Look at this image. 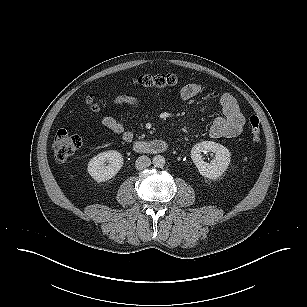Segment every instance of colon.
Listing matches in <instances>:
<instances>
[{"label":"colon","mask_w":307,"mask_h":307,"mask_svg":"<svg viewBox=\"0 0 307 307\" xmlns=\"http://www.w3.org/2000/svg\"><path fill=\"white\" fill-rule=\"evenodd\" d=\"M182 79L171 74L142 75L134 80V84L149 92H162L178 87ZM103 101L90 97L86 100L89 110L95 111L103 106ZM250 139L254 145L261 143V130L257 116H251L248 121ZM81 146V138L78 134L62 129L58 131L53 142L55 159L64 161L69 158Z\"/></svg>","instance_id":"5ec220e1"}]
</instances>
